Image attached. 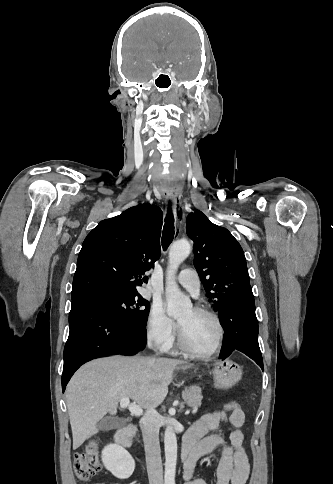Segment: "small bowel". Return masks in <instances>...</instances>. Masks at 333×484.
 Here are the masks:
<instances>
[{
	"mask_svg": "<svg viewBox=\"0 0 333 484\" xmlns=\"http://www.w3.org/2000/svg\"><path fill=\"white\" fill-rule=\"evenodd\" d=\"M245 422L243 410H223L204 414L186 432L184 440L193 442V456L184 468L185 484H207L202 478H194L196 462L222 447V457L216 471V484H245L250 473V464L244 447L242 426ZM224 423L233 427L228 440L216 430Z\"/></svg>",
	"mask_w": 333,
	"mask_h": 484,
	"instance_id": "1",
	"label": "small bowel"
}]
</instances>
